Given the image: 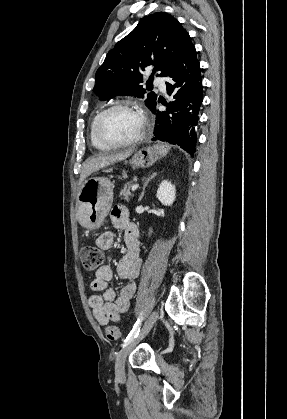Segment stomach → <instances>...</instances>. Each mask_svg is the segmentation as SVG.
<instances>
[{
  "label": "stomach",
  "mask_w": 287,
  "mask_h": 419,
  "mask_svg": "<svg viewBox=\"0 0 287 419\" xmlns=\"http://www.w3.org/2000/svg\"><path fill=\"white\" fill-rule=\"evenodd\" d=\"M169 146L156 143L136 151L130 164L137 168H148L165 156ZM113 184L105 177H91L79 187L77 196V217L88 229L101 226L108 215L113 200Z\"/></svg>",
  "instance_id": "1"
}]
</instances>
